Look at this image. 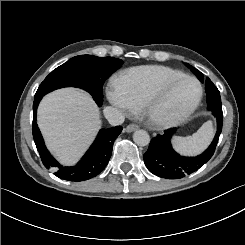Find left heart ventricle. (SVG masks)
Masks as SVG:
<instances>
[{
    "label": "left heart ventricle",
    "mask_w": 245,
    "mask_h": 245,
    "mask_svg": "<svg viewBox=\"0 0 245 245\" xmlns=\"http://www.w3.org/2000/svg\"><path fill=\"white\" fill-rule=\"evenodd\" d=\"M196 96L197 86L192 81L184 80L161 90L157 100L163 111L179 114L192 105Z\"/></svg>",
    "instance_id": "left-heart-ventricle-1"
}]
</instances>
